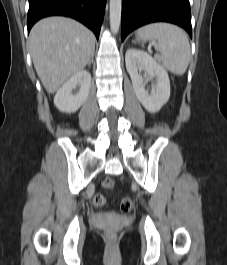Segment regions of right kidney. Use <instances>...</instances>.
<instances>
[{"label": "right kidney", "mask_w": 227, "mask_h": 265, "mask_svg": "<svg viewBox=\"0 0 227 265\" xmlns=\"http://www.w3.org/2000/svg\"><path fill=\"white\" fill-rule=\"evenodd\" d=\"M79 86V91L73 95L72 91ZM91 86V75L86 70H81L70 77L57 91L54 104L64 113L76 112L86 101Z\"/></svg>", "instance_id": "ca27d5eb"}]
</instances>
